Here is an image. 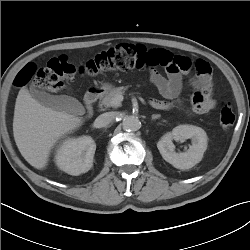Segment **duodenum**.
<instances>
[{"mask_svg":"<svg viewBox=\"0 0 250 250\" xmlns=\"http://www.w3.org/2000/svg\"><path fill=\"white\" fill-rule=\"evenodd\" d=\"M102 92H103L102 89L98 87L90 88L87 91L85 98H84V102H85V106H86L88 114H91L93 112V106L97 102L99 97L101 96ZM150 105L155 109H159V106H160L159 102L156 100L150 101Z\"/></svg>","mask_w":250,"mask_h":250,"instance_id":"duodenum-1","label":"duodenum"}]
</instances>
